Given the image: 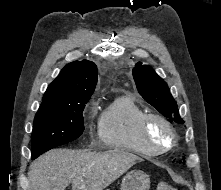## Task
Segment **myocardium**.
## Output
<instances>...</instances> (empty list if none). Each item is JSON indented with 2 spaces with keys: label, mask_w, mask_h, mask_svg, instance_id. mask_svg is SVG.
Wrapping results in <instances>:
<instances>
[{
  "label": "myocardium",
  "mask_w": 221,
  "mask_h": 190,
  "mask_svg": "<svg viewBox=\"0 0 221 190\" xmlns=\"http://www.w3.org/2000/svg\"><path fill=\"white\" fill-rule=\"evenodd\" d=\"M154 121L159 122L169 133L170 142L168 143V145L159 146L153 143L152 140L150 139L148 131L150 124ZM139 133L143 143L154 154L164 153L166 151L173 149L176 146L178 140L175 130L170 124V122L164 116L154 112H148L142 116L139 122Z\"/></svg>",
  "instance_id": "f54148a6"
}]
</instances>
